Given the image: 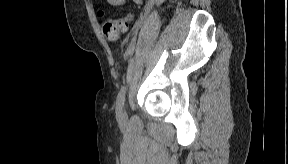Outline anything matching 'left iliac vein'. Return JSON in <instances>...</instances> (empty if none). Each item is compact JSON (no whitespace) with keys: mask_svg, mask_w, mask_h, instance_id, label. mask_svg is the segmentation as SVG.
<instances>
[{"mask_svg":"<svg viewBox=\"0 0 288 164\" xmlns=\"http://www.w3.org/2000/svg\"><path fill=\"white\" fill-rule=\"evenodd\" d=\"M126 116H127L126 111L125 110H121L120 113H119V118L123 120V119L126 118Z\"/></svg>","mask_w":288,"mask_h":164,"instance_id":"1","label":"left iliac vein"}]
</instances>
